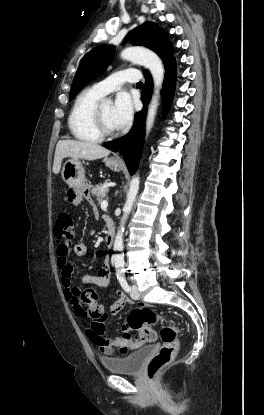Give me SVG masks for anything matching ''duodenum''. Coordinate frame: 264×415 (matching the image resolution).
<instances>
[{
    "label": "duodenum",
    "mask_w": 264,
    "mask_h": 415,
    "mask_svg": "<svg viewBox=\"0 0 264 415\" xmlns=\"http://www.w3.org/2000/svg\"><path fill=\"white\" fill-rule=\"evenodd\" d=\"M105 226H106L105 243L108 247H112L115 241V228L110 217H106Z\"/></svg>",
    "instance_id": "obj_1"
}]
</instances>
